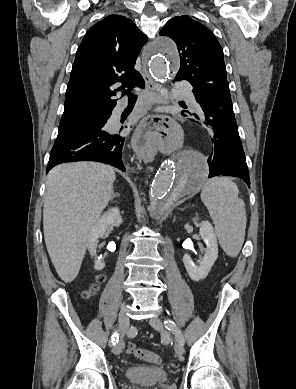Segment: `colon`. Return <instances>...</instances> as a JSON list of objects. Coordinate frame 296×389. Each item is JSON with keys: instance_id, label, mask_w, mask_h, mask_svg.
I'll return each mask as SVG.
<instances>
[{"instance_id": "obj_1", "label": "colon", "mask_w": 296, "mask_h": 389, "mask_svg": "<svg viewBox=\"0 0 296 389\" xmlns=\"http://www.w3.org/2000/svg\"><path fill=\"white\" fill-rule=\"evenodd\" d=\"M104 280H105L104 275L102 274L98 275L95 279V282L88 288V290L84 292V295L88 297L94 292H96L99 285L103 283ZM127 353L149 363H159L161 360L160 356L157 353L150 350L139 348L134 343L128 344Z\"/></svg>"}]
</instances>
